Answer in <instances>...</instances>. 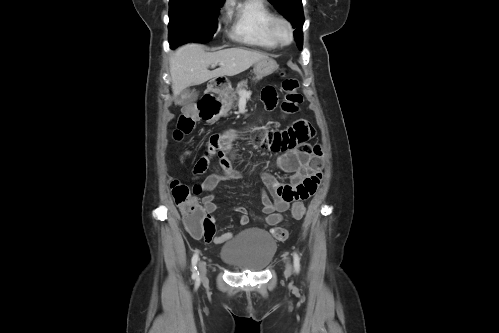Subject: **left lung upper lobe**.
<instances>
[{"label": "left lung upper lobe", "instance_id": "1", "mask_svg": "<svg viewBox=\"0 0 499 333\" xmlns=\"http://www.w3.org/2000/svg\"><path fill=\"white\" fill-rule=\"evenodd\" d=\"M269 2L296 28L294 32L295 40L298 48L302 49L301 29L304 23V15L301 0H269Z\"/></svg>", "mask_w": 499, "mask_h": 333}]
</instances>
